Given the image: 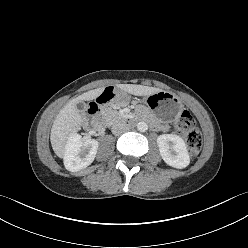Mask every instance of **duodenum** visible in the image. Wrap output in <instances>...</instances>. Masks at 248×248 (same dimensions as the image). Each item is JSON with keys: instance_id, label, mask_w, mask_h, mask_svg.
<instances>
[{"instance_id": "410a0bca", "label": "duodenum", "mask_w": 248, "mask_h": 248, "mask_svg": "<svg viewBox=\"0 0 248 248\" xmlns=\"http://www.w3.org/2000/svg\"><path fill=\"white\" fill-rule=\"evenodd\" d=\"M117 94V89L114 86L104 87L99 94H97L94 99H90L87 102L88 114L90 117L91 125L94 129L100 130L104 124V118L102 115L103 105L112 101ZM136 119L133 117H126L124 123L128 126L133 125ZM151 125L153 128H158V123L151 120Z\"/></svg>"}]
</instances>
